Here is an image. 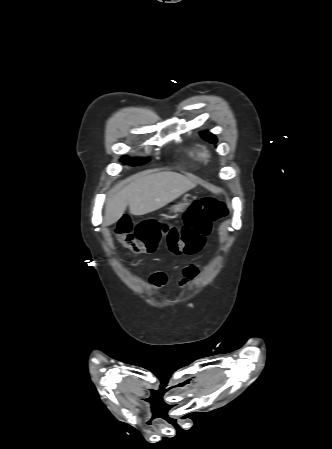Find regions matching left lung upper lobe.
I'll return each instance as SVG.
<instances>
[{"instance_id":"1","label":"left lung upper lobe","mask_w":332,"mask_h":449,"mask_svg":"<svg viewBox=\"0 0 332 449\" xmlns=\"http://www.w3.org/2000/svg\"><path fill=\"white\" fill-rule=\"evenodd\" d=\"M201 136H202L205 140L209 141L210 143L215 144V143L217 142L216 137H215L213 134H211V133H209V132H207V131L202 132V133H201Z\"/></svg>"}]
</instances>
